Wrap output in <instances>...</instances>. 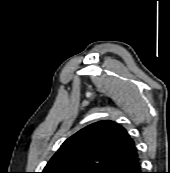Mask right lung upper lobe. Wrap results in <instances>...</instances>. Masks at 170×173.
Instances as JSON below:
<instances>
[{
	"label": "right lung upper lobe",
	"mask_w": 170,
	"mask_h": 173,
	"mask_svg": "<svg viewBox=\"0 0 170 173\" xmlns=\"http://www.w3.org/2000/svg\"><path fill=\"white\" fill-rule=\"evenodd\" d=\"M137 155L133 139L119 124L104 120L88 125L68 138L42 173L81 171L103 173L109 167Z\"/></svg>",
	"instance_id": "cb5924a9"
}]
</instances>
